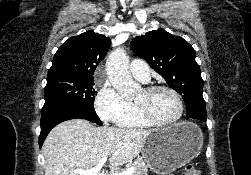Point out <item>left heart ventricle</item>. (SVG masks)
<instances>
[{"label": "left heart ventricle", "instance_id": "1", "mask_svg": "<svg viewBox=\"0 0 251 175\" xmlns=\"http://www.w3.org/2000/svg\"><path fill=\"white\" fill-rule=\"evenodd\" d=\"M134 103L161 122H174L180 115V106L175 95L167 90L149 92L144 89L137 95Z\"/></svg>", "mask_w": 251, "mask_h": 175}]
</instances>
